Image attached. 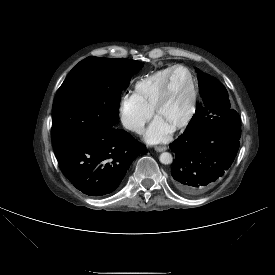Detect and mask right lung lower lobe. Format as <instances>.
Returning a JSON list of instances; mask_svg holds the SVG:
<instances>
[{
  "instance_id": "98d812e1",
  "label": "right lung lower lobe",
  "mask_w": 275,
  "mask_h": 275,
  "mask_svg": "<svg viewBox=\"0 0 275 275\" xmlns=\"http://www.w3.org/2000/svg\"><path fill=\"white\" fill-rule=\"evenodd\" d=\"M145 149L129 133L115 128L68 138L54 146L64 175L89 196L113 192Z\"/></svg>"
}]
</instances>
